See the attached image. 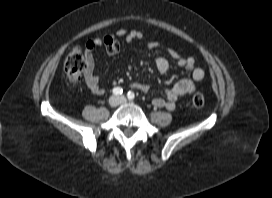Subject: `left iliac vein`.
Wrapping results in <instances>:
<instances>
[{
  "instance_id": "left-iliac-vein-1",
  "label": "left iliac vein",
  "mask_w": 272,
  "mask_h": 198,
  "mask_svg": "<svg viewBox=\"0 0 272 198\" xmlns=\"http://www.w3.org/2000/svg\"><path fill=\"white\" fill-rule=\"evenodd\" d=\"M119 100H120V103H126L127 102V100H126V98L124 96H120Z\"/></svg>"
}]
</instances>
